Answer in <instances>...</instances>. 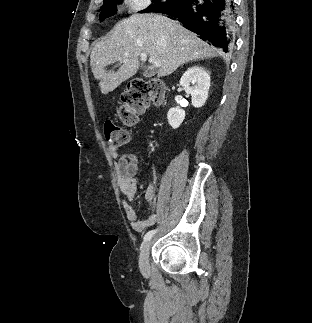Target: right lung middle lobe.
<instances>
[{"mask_svg": "<svg viewBox=\"0 0 312 323\" xmlns=\"http://www.w3.org/2000/svg\"><path fill=\"white\" fill-rule=\"evenodd\" d=\"M116 0H112L111 2L105 3L101 7L100 19L113 15L116 13ZM121 1V0H120ZM154 2L153 5H150L147 9L142 12H159L162 9H167L175 6L181 0H152Z\"/></svg>", "mask_w": 312, "mask_h": 323, "instance_id": "dd1d6c3e", "label": "right lung middle lobe"}]
</instances>
